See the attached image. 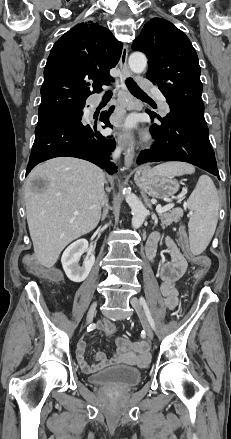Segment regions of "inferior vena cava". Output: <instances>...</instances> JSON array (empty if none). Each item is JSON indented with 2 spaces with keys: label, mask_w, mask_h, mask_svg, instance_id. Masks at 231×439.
Wrapping results in <instances>:
<instances>
[{
  "label": "inferior vena cava",
  "mask_w": 231,
  "mask_h": 439,
  "mask_svg": "<svg viewBox=\"0 0 231 439\" xmlns=\"http://www.w3.org/2000/svg\"><path fill=\"white\" fill-rule=\"evenodd\" d=\"M105 200H106V198H105ZM105 200H103L102 205H105Z\"/></svg>",
  "instance_id": "602c4592"
}]
</instances>
